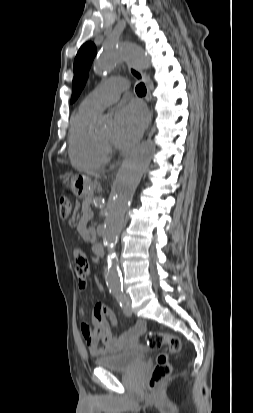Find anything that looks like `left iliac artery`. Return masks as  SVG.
<instances>
[{"mask_svg": "<svg viewBox=\"0 0 253 413\" xmlns=\"http://www.w3.org/2000/svg\"><path fill=\"white\" fill-rule=\"evenodd\" d=\"M114 297L117 299L118 303L122 308H125L128 305V300L123 292V289H114L112 291Z\"/></svg>", "mask_w": 253, "mask_h": 413, "instance_id": "obj_1", "label": "left iliac artery"}]
</instances>
